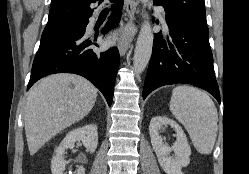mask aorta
<instances>
[{
  "label": "aorta",
  "mask_w": 249,
  "mask_h": 174,
  "mask_svg": "<svg viewBox=\"0 0 249 174\" xmlns=\"http://www.w3.org/2000/svg\"><path fill=\"white\" fill-rule=\"evenodd\" d=\"M141 2L146 5L148 0H141ZM153 39L154 35L151 24L148 19H146L141 25L134 51L133 70L136 74L142 73L149 63L152 54Z\"/></svg>",
  "instance_id": "aorta-1"
}]
</instances>
